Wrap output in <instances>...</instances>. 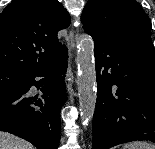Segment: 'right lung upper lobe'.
Segmentation results:
<instances>
[{
  "instance_id": "right-lung-upper-lobe-1",
  "label": "right lung upper lobe",
  "mask_w": 155,
  "mask_h": 149,
  "mask_svg": "<svg viewBox=\"0 0 155 149\" xmlns=\"http://www.w3.org/2000/svg\"><path fill=\"white\" fill-rule=\"evenodd\" d=\"M70 16L57 0H14L0 14V69L30 74L66 52L57 32Z\"/></svg>"
}]
</instances>
